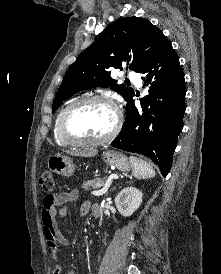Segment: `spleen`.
<instances>
[{"mask_svg": "<svg viewBox=\"0 0 221 274\" xmlns=\"http://www.w3.org/2000/svg\"><path fill=\"white\" fill-rule=\"evenodd\" d=\"M129 161L132 167V174L135 178L149 179L156 175L154 169L148 162L134 156H131Z\"/></svg>", "mask_w": 221, "mask_h": 274, "instance_id": "obj_1", "label": "spleen"}]
</instances>
